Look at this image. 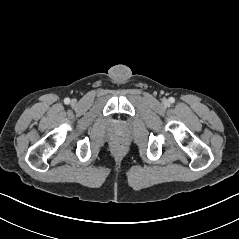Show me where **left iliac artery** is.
I'll list each match as a JSON object with an SVG mask.
<instances>
[{
    "label": "left iliac artery",
    "mask_w": 239,
    "mask_h": 239,
    "mask_svg": "<svg viewBox=\"0 0 239 239\" xmlns=\"http://www.w3.org/2000/svg\"><path fill=\"white\" fill-rule=\"evenodd\" d=\"M170 103H174L175 99L173 97L169 98Z\"/></svg>",
    "instance_id": "44dca946"
}]
</instances>
